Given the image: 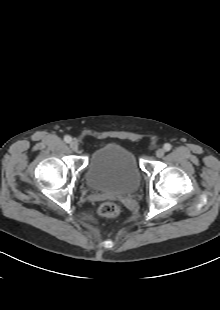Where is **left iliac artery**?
Wrapping results in <instances>:
<instances>
[{
  "mask_svg": "<svg viewBox=\"0 0 220 310\" xmlns=\"http://www.w3.org/2000/svg\"><path fill=\"white\" fill-rule=\"evenodd\" d=\"M171 148H172L171 144H169V143L164 144V149H165L166 151H170Z\"/></svg>",
  "mask_w": 220,
  "mask_h": 310,
  "instance_id": "44dca946",
  "label": "left iliac artery"
}]
</instances>
